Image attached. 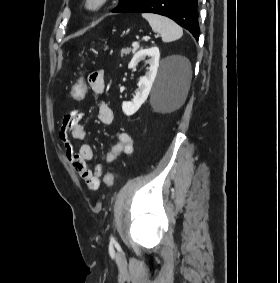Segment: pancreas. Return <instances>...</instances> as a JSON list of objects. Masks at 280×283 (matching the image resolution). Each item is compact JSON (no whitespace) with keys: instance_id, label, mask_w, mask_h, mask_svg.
Returning a JSON list of instances; mask_svg holds the SVG:
<instances>
[{"instance_id":"obj_1","label":"pancreas","mask_w":280,"mask_h":283,"mask_svg":"<svg viewBox=\"0 0 280 283\" xmlns=\"http://www.w3.org/2000/svg\"><path fill=\"white\" fill-rule=\"evenodd\" d=\"M130 52H131V48H124V49H122L121 52H120L121 57L129 55Z\"/></svg>"}]
</instances>
